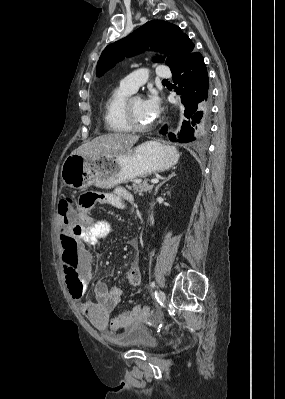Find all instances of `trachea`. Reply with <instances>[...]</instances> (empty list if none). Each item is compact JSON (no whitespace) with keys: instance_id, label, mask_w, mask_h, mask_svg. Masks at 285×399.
<instances>
[{"instance_id":"3493384b","label":"trachea","mask_w":285,"mask_h":399,"mask_svg":"<svg viewBox=\"0 0 285 399\" xmlns=\"http://www.w3.org/2000/svg\"><path fill=\"white\" fill-rule=\"evenodd\" d=\"M163 82H168V79H164Z\"/></svg>"}]
</instances>
